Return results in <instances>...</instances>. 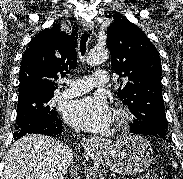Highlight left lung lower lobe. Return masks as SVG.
Segmentation results:
<instances>
[{"label":"left lung lower lobe","mask_w":183,"mask_h":179,"mask_svg":"<svg viewBox=\"0 0 183 179\" xmlns=\"http://www.w3.org/2000/svg\"><path fill=\"white\" fill-rule=\"evenodd\" d=\"M161 138H164L166 141H169V138L168 137H161Z\"/></svg>","instance_id":"1"}]
</instances>
